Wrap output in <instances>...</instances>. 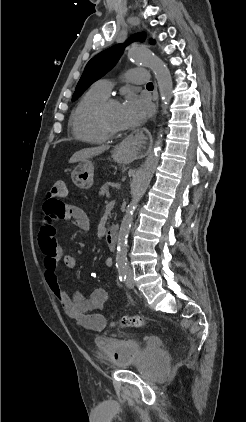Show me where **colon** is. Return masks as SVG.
<instances>
[{
    "mask_svg": "<svg viewBox=\"0 0 246 422\" xmlns=\"http://www.w3.org/2000/svg\"><path fill=\"white\" fill-rule=\"evenodd\" d=\"M67 196V187L63 180H56L47 191L46 203L51 209L59 208L63 202L62 200ZM123 327H141L146 324V320L142 317H124L119 322Z\"/></svg>",
    "mask_w": 246,
    "mask_h": 422,
    "instance_id": "5ec220e1",
    "label": "colon"
}]
</instances>
